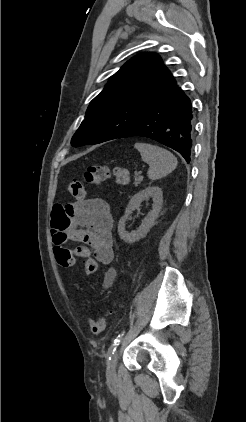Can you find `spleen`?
Here are the masks:
<instances>
[{"label": "spleen", "mask_w": 246, "mask_h": 422, "mask_svg": "<svg viewBox=\"0 0 246 422\" xmlns=\"http://www.w3.org/2000/svg\"><path fill=\"white\" fill-rule=\"evenodd\" d=\"M134 146L140 152L142 160L149 164L147 174L151 180L160 179L177 167V158L162 147L147 143H136Z\"/></svg>", "instance_id": "1"}]
</instances>
